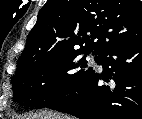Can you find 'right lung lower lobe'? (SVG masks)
<instances>
[{
	"mask_svg": "<svg viewBox=\"0 0 142 119\" xmlns=\"http://www.w3.org/2000/svg\"><path fill=\"white\" fill-rule=\"evenodd\" d=\"M97 63L102 73L93 70L49 108L80 119H142V39L102 52Z\"/></svg>",
	"mask_w": 142,
	"mask_h": 119,
	"instance_id": "right-lung-lower-lobe-1",
	"label": "right lung lower lobe"
}]
</instances>
